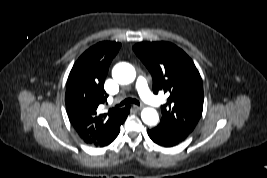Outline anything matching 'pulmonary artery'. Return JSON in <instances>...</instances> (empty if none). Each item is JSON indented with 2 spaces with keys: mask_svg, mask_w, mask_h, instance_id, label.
I'll use <instances>...</instances> for the list:
<instances>
[{
  "mask_svg": "<svg viewBox=\"0 0 267 178\" xmlns=\"http://www.w3.org/2000/svg\"><path fill=\"white\" fill-rule=\"evenodd\" d=\"M135 87L140 95V97L148 104L152 106H160L162 100L155 96L149 89L147 81L144 77L139 76L136 80Z\"/></svg>",
  "mask_w": 267,
  "mask_h": 178,
  "instance_id": "pulmonary-artery-1",
  "label": "pulmonary artery"
}]
</instances>
